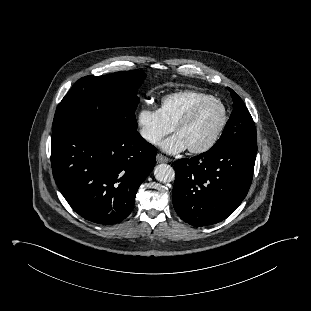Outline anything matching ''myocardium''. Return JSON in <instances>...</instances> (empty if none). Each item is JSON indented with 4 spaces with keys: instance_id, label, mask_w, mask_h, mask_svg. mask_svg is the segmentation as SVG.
<instances>
[{
    "instance_id": "f54148a6",
    "label": "myocardium",
    "mask_w": 311,
    "mask_h": 311,
    "mask_svg": "<svg viewBox=\"0 0 311 311\" xmlns=\"http://www.w3.org/2000/svg\"><path fill=\"white\" fill-rule=\"evenodd\" d=\"M215 102L218 103L222 109V116L221 120L219 122V125L217 126L216 130L214 131L213 135L210 137V139L204 143L203 145L199 147H190L188 148L189 152L193 154H201L204 152H207L210 150L219 140L226 124L228 121V113H227V108L224 105V103L215 97H209L207 99H204L195 105H193L183 116L182 118L176 123L174 126V131L177 133L181 128L189 124L192 119L196 116V114L207 104Z\"/></svg>"
}]
</instances>
